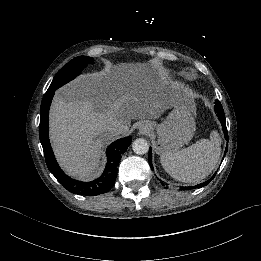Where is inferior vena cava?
<instances>
[{
  "instance_id": "1",
  "label": "inferior vena cava",
  "mask_w": 261,
  "mask_h": 261,
  "mask_svg": "<svg viewBox=\"0 0 261 261\" xmlns=\"http://www.w3.org/2000/svg\"><path fill=\"white\" fill-rule=\"evenodd\" d=\"M108 130L113 135H118L126 130V125L122 121L115 120L108 126Z\"/></svg>"
}]
</instances>
